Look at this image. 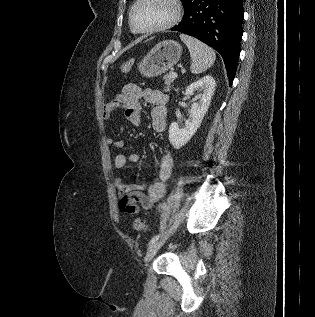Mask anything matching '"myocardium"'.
I'll list each match as a JSON object with an SVG mask.
<instances>
[{
  "instance_id": "1",
  "label": "myocardium",
  "mask_w": 315,
  "mask_h": 317,
  "mask_svg": "<svg viewBox=\"0 0 315 317\" xmlns=\"http://www.w3.org/2000/svg\"><path fill=\"white\" fill-rule=\"evenodd\" d=\"M142 1L143 0H136L135 1V3L133 4V6L131 8L130 15H129L130 26H131L132 30L137 32V33H154V32H159V31L169 29V28L173 27L174 25H176L182 17V7H181L180 0H169V2L171 3V5L173 7V14H172L171 18L161 25L151 27V28H146V29H140V28L136 27V25H135L134 13H135L137 6Z\"/></svg>"
}]
</instances>
